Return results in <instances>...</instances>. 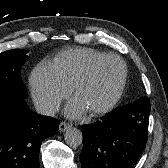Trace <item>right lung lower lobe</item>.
Returning a JSON list of instances; mask_svg holds the SVG:
<instances>
[{"mask_svg":"<svg viewBox=\"0 0 168 168\" xmlns=\"http://www.w3.org/2000/svg\"><path fill=\"white\" fill-rule=\"evenodd\" d=\"M59 121L32 112L20 97L0 94V168H39L41 143Z\"/></svg>","mask_w":168,"mask_h":168,"instance_id":"right-lung-lower-lobe-1","label":"right lung lower lobe"}]
</instances>
